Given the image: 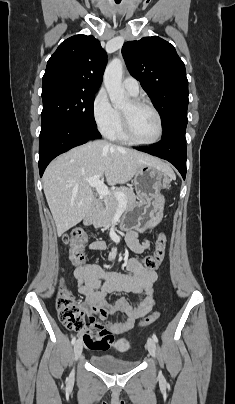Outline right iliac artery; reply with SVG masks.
<instances>
[{"mask_svg":"<svg viewBox=\"0 0 235 404\" xmlns=\"http://www.w3.org/2000/svg\"><path fill=\"white\" fill-rule=\"evenodd\" d=\"M75 342H76V336H74V337L72 338V344H73V345L75 344Z\"/></svg>","mask_w":235,"mask_h":404,"instance_id":"obj_1","label":"right iliac artery"}]
</instances>
